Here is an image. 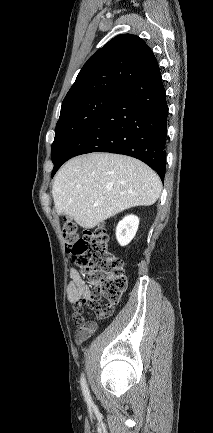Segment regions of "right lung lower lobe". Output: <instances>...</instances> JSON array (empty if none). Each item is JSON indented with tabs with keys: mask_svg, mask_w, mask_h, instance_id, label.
Instances as JSON below:
<instances>
[{
	"mask_svg": "<svg viewBox=\"0 0 213 433\" xmlns=\"http://www.w3.org/2000/svg\"><path fill=\"white\" fill-rule=\"evenodd\" d=\"M168 105L159 65L154 66L65 148L52 176L69 158L91 152L135 157L164 180Z\"/></svg>",
	"mask_w": 213,
	"mask_h": 433,
	"instance_id": "right-lung-lower-lobe-1",
	"label": "right lung lower lobe"
}]
</instances>
